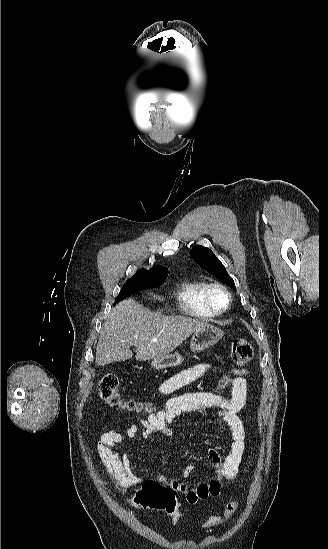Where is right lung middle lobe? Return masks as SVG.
<instances>
[{
	"instance_id": "dd1d6c3e",
	"label": "right lung middle lobe",
	"mask_w": 328,
	"mask_h": 549,
	"mask_svg": "<svg viewBox=\"0 0 328 549\" xmlns=\"http://www.w3.org/2000/svg\"><path fill=\"white\" fill-rule=\"evenodd\" d=\"M168 273H160L153 270H144L136 273L122 287L115 304L133 293L161 285Z\"/></svg>"
}]
</instances>
